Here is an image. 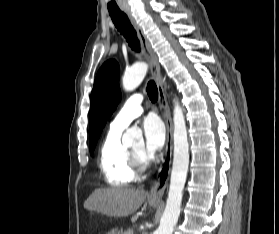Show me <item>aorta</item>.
<instances>
[{
    "mask_svg": "<svg viewBox=\"0 0 279 234\" xmlns=\"http://www.w3.org/2000/svg\"><path fill=\"white\" fill-rule=\"evenodd\" d=\"M148 70L146 63H136L127 69L123 75L122 85L126 91H132L143 81ZM173 139L174 154L173 165L170 178V186L166 207L161 217V222L155 234H172L176 225L182 202V192L186 182L189 166V143L187 137V128L183 111L178 103L175 102L173 111ZM141 137V131L135 128L128 129L123 137L124 145H132L135 138Z\"/></svg>",
    "mask_w": 279,
    "mask_h": 234,
    "instance_id": "aorta-1",
    "label": "aorta"
}]
</instances>
